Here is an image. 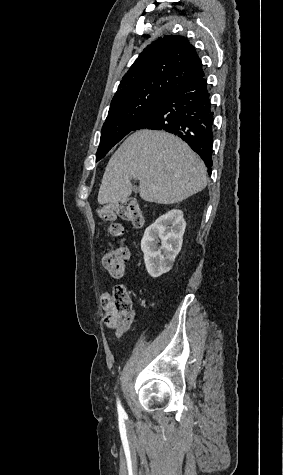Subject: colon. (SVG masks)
<instances>
[{
	"instance_id": "1",
	"label": "colon",
	"mask_w": 283,
	"mask_h": 475,
	"mask_svg": "<svg viewBox=\"0 0 283 475\" xmlns=\"http://www.w3.org/2000/svg\"><path fill=\"white\" fill-rule=\"evenodd\" d=\"M100 219L107 224L106 234L114 239L124 236V228L119 220L131 222L136 228L143 226L144 215L134 198L109 204L99 211ZM129 260V250L123 244H118L114 249H108L103 255V264L109 275L120 278L124 275ZM104 306H111L112 314L106 317L105 324L118 330H126L133 319V304L128 287L116 285L109 291V297L102 299ZM106 308L107 312L111 311Z\"/></svg>"
}]
</instances>
